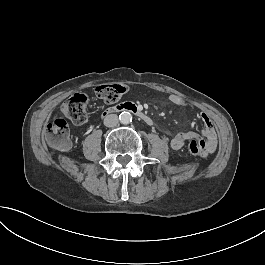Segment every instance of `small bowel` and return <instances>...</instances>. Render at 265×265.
<instances>
[{
  "mask_svg": "<svg viewBox=\"0 0 265 265\" xmlns=\"http://www.w3.org/2000/svg\"><path fill=\"white\" fill-rule=\"evenodd\" d=\"M170 102L176 106H185L186 101L180 95L173 94L169 97ZM199 121L203 125L202 134L192 133V132H180L177 133L171 140L170 145L174 150H180L184 147L186 142L190 138H195V140L200 144V152L203 154L204 158H209L210 153H213L216 148V136L211 118L205 114L200 113L198 115Z\"/></svg>",
  "mask_w": 265,
  "mask_h": 265,
  "instance_id": "small-bowel-1",
  "label": "small bowel"
}]
</instances>
